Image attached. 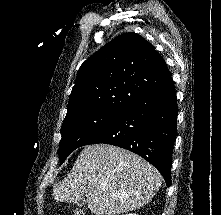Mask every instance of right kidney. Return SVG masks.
Listing matches in <instances>:
<instances>
[{
    "label": "right kidney",
    "mask_w": 221,
    "mask_h": 215,
    "mask_svg": "<svg viewBox=\"0 0 221 215\" xmlns=\"http://www.w3.org/2000/svg\"><path fill=\"white\" fill-rule=\"evenodd\" d=\"M126 215H136V214H132V213H131V214H126Z\"/></svg>",
    "instance_id": "1"
}]
</instances>
